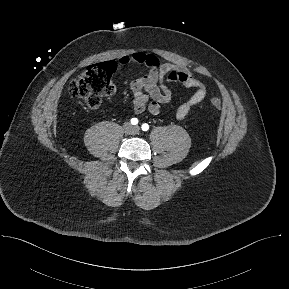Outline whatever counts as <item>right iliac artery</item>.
<instances>
[{
  "label": "right iliac artery",
  "instance_id": "1",
  "mask_svg": "<svg viewBox=\"0 0 289 289\" xmlns=\"http://www.w3.org/2000/svg\"><path fill=\"white\" fill-rule=\"evenodd\" d=\"M131 124L132 125H137L138 124V119L137 118H132L131 119Z\"/></svg>",
  "mask_w": 289,
  "mask_h": 289
}]
</instances>
